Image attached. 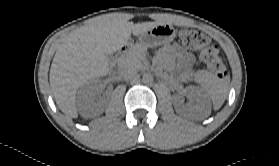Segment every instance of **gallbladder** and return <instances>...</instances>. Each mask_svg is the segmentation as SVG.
Here are the masks:
<instances>
[{
  "mask_svg": "<svg viewBox=\"0 0 279 166\" xmlns=\"http://www.w3.org/2000/svg\"><path fill=\"white\" fill-rule=\"evenodd\" d=\"M106 59H107V61H108L109 63H111V62H113L114 57H113L112 54H106Z\"/></svg>",
  "mask_w": 279,
  "mask_h": 166,
  "instance_id": "bac80fb5",
  "label": "gallbladder"
}]
</instances>
